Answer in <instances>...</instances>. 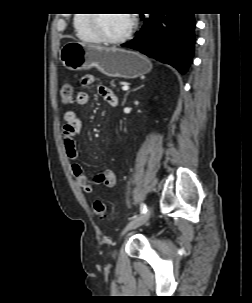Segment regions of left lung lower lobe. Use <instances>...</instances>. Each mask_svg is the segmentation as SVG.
<instances>
[{"instance_id":"0a47b994","label":"left lung lower lobe","mask_w":252,"mask_h":303,"mask_svg":"<svg viewBox=\"0 0 252 303\" xmlns=\"http://www.w3.org/2000/svg\"><path fill=\"white\" fill-rule=\"evenodd\" d=\"M143 19L137 36L122 44L161 62L170 64L185 74L194 53L193 14H152Z\"/></svg>"}]
</instances>
